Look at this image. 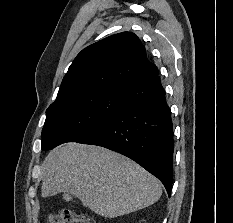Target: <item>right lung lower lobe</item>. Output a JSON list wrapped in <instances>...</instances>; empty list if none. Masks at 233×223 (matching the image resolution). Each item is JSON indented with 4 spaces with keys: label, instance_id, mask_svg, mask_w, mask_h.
Returning a JSON list of instances; mask_svg holds the SVG:
<instances>
[{
    "label": "right lung lower lobe",
    "instance_id": "obj_1",
    "mask_svg": "<svg viewBox=\"0 0 233 223\" xmlns=\"http://www.w3.org/2000/svg\"><path fill=\"white\" fill-rule=\"evenodd\" d=\"M120 99L121 110L79 143L102 146L131 158L156 176L170 196L173 132L160 77L123 89Z\"/></svg>",
    "mask_w": 233,
    "mask_h": 223
}]
</instances>
